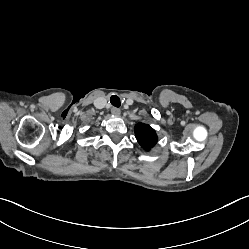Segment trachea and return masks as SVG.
I'll list each match as a JSON object with an SVG mask.
<instances>
[{"instance_id":"trachea-1","label":"trachea","mask_w":249,"mask_h":249,"mask_svg":"<svg viewBox=\"0 0 249 249\" xmlns=\"http://www.w3.org/2000/svg\"><path fill=\"white\" fill-rule=\"evenodd\" d=\"M110 102L115 107H120L121 105L120 98L117 95H112L110 98Z\"/></svg>"}]
</instances>
